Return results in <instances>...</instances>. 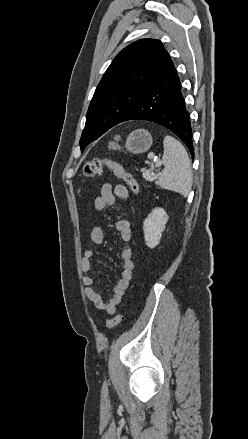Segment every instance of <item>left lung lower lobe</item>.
<instances>
[{"mask_svg":"<svg viewBox=\"0 0 248 439\" xmlns=\"http://www.w3.org/2000/svg\"><path fill=\"white\" fill-rule=\"evenodd\" d=\"M128 120H146L166 127L175 133L188 147L191 155H194L190 116L181 93L179 77L171 60L120 123Z\"/></svg>","mask_w":248,"mask_h":439,"instance_id":"left-lung-lower-lobe-1","label":"left lung lower lobe"}]
</instances>
